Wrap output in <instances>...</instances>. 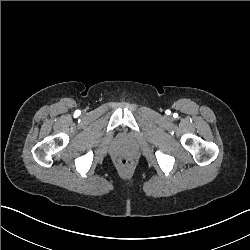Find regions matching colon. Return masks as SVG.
<instances>
[{"mask_svg":"<svg viewBox=\"0 0 250 250\" xmlns=\"http://www.w3.org/2000/svg\"><path fill=\"white\" fill-rule=\"evenodd\" d=\"M117 167L121 174L128 175V174H131L135 170L136 163L133 158L122 157L118 160Z\"/></svg>","mask_w":250,"mask_h":250,"instance_id":"obj_1","label":"colon"}]
</instances>
